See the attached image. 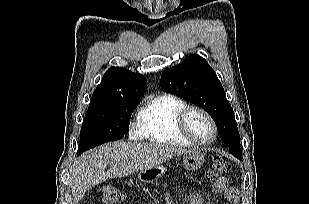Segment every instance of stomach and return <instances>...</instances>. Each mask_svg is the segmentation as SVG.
Listing matches in <instances>:
<instances>
[{
  "label": "stomach",
  "instance_id": "obj_1",
  "mask_svg": "<svg viewBox=\"0 0 309 204\" xmlns=\"http://www.w3.org/2000/svg\"><path fill=\"white\" fill-rule=\"evenodd\" d=\"M203 163L204 155L200 151H187L183 154V166L186 170H197ZM168 167H170L169 161L155 165L149 169L140 171L138 179L143 183H153L166 173Z\"/></svg>",
  "mask_w": 309,
  "mask_h": 204
}]
</instances>
